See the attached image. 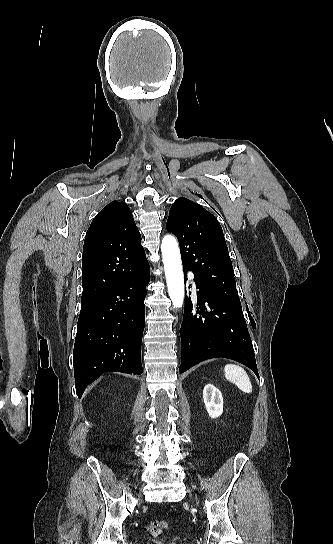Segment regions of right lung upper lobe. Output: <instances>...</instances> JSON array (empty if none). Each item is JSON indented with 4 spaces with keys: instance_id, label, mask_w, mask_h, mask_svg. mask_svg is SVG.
Masks as SVG:
<instances>
[{
    "instance_id": "right-lung-upper-lobe-1",
    "label": "right lung upper lobe",
    "mask_w": 333,
    "mask_h": 544,
    "mask_svg": "<svg viewBox=\"0 0 333 544\" xmlns=\"http://www.w3.org/2000/svg\"><path fill=\"white\" fill-rule=\"evenodd\" d=\"M146 264L130 209L124 202H111L94 218L85 237L81 303L106 294Z\"/></svg>"
}]
</instances>
